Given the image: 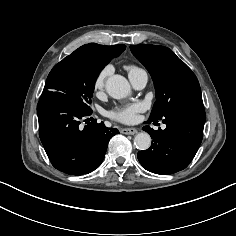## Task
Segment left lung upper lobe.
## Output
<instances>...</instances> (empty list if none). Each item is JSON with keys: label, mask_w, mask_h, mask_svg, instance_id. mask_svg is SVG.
I'll return each instance as SVG.
<instances>
[{"label": "left lung upper lobe", "mask_w": 236, "mask_h": 236, "mask_svg": "<svg viewBox=\"0 0 236 236\" xmlns=\"http://www.w3.org/2000/svg\"><path fill=\"white\" fill-rule=\"evenodd\" d=\"M130 49L149 71L156 89L149 119L161 120L169 110L185 102H202L195 74L172 50L157 45H133Z\"/></svg>", "instance_id": "left-lung-upper-lobe-1"}]
</instances>
